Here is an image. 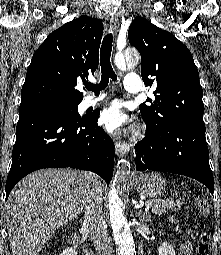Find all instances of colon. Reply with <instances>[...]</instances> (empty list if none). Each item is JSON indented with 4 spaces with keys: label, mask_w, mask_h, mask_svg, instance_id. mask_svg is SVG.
<instances>
[{
    "label": "colon",
    "mask_w": 221,
    "mask_h": 255,
    "mask_svg": "<svg viewBox=\"0 0 221 255\" xmlns=\"http://www.w3.org/2000/svg\"><path fill=\"white\" fill-rule=\"evenodd\" d=\"M196 206L202 217L210 214V205L206 197L200 196L196 199ZM197 255H210L211 253V233L204 224L200 225L197 242Z\"/></svg>",
    "instance_id": "1"
}]
</instances>
